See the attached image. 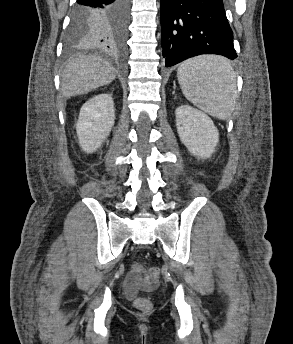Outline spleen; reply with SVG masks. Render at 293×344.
<instances>
[{
	"label": "spleen",
	"mask_w": 293,
	"mask_h": 344,
	"mask_svg": "<svg viewBox=\"0 0 293 344\" xmlns=\"http://www.w3.org/2000/svg\"><path fill=\"white\" fill-rule=\"evenodd\" d=\"M184 96L199 109L225 120L233 112L235 73L224 57L202 55L184 61L177 70Z\"/></svg>",
	"instance_id": "1"
}]
</instances>
